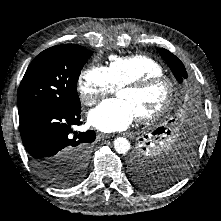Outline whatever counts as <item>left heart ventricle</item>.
<instances>
[{
  "mask_svg": "<svg viewBox=\"0 0 221 221\" xmlns=\"http://www.w3.org/2000/svg\"><path fill=\"white\" fill-rule=\"evenodd\" d=\"M117 96L125 100L138 117L158 110L168 97V87L165 83H158L143 91L119 90Z\"/></svg>",
  "mask_w": 221,
  "mask_h": 221,
  "instance_id": "1",
  "label": "left heart ventricle"
}]
</instances>
